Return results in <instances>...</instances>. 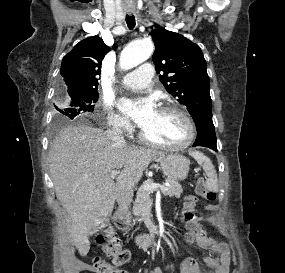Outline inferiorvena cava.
<instances>
[{
  "label": "inferior vena cava",
  "mask_w": 285,
  "mask_h": 273,
  "mask_svg": "<svg viewBox=\"0 0 285 273\" xmlns=\"http://www.w3.org/2000/svg\"><path fill=\"white\" fill-rule=\"evenodd\" d=\"M122 124L121 122L117 121L113 124L112 129L107 130L106 134L107 136L114 140V141H118V142H123L124 137L122 135Z\"/></svg>",
  "instance_id": "inferior-vena-cava-1"
}]
</instances>
